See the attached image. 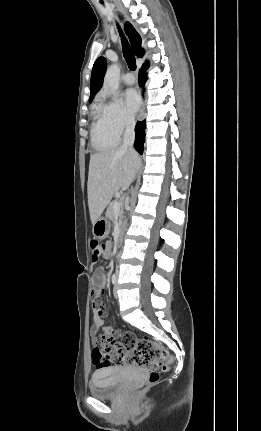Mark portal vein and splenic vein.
<instances>
[{
  "mask_svg": "<svg viewBox=\"0 0 261 431\" xmlns=\"http://www.w3.org/2000/svg\"><path fill=\"white\" fill-rule=\"evenodd\" d=\"M113 207H114V210H115V211H119V210H120V207H121L120 202H115Z\"/></svg>",
  "mask_w": 261,
  "mask_h": 431,
  "instance_id": "18ae733b",
  "label": "portal vein and splenic vein"
}]
</instances>
